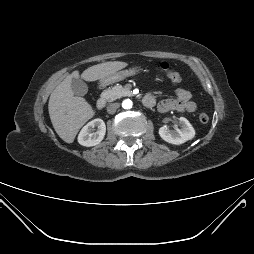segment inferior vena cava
Segmentation results:
<instances>
[{"label":"inferior vena cava","instance_id":"602c4592","mask_svg":"<svg viewBox=\"0 0 254 254\" xmlns=\"http://www.w3.org/2000/svg\"><path fill=\"white\" fill-rule=\"evenodd\" d=\"M119 107V103H111L110 105H108L107 107V112L109 114H113L116 112L117 108Z\"/></svg>","mask_w":254,"mask_h":254}]
</instances>
